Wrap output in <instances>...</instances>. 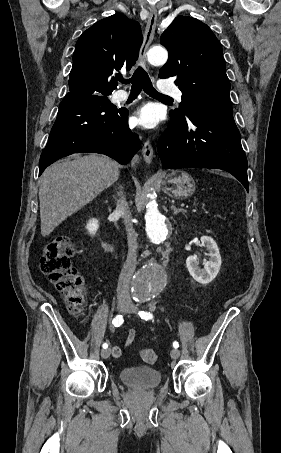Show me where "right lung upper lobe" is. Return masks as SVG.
Wrapping results in <instances>:
<instances>
[{
	"label": "right lung upper lobe",
	"mask_w": 281,
	"mask_h": 453,
	"mask_svg": "<svg viewBox=\"0 0 281 453\" xmlns=\"http://www.w3.org/2000/svg\"><path fill=\"white\" fill-rule=\"evenodd\" d=\"M142 41L139 24L121 13L95 23L76 43L66 97L110 95L117 86L113 74L130 70Z\"/></svg>",
	"instance_id": "obj_1"
}]
</instances>
